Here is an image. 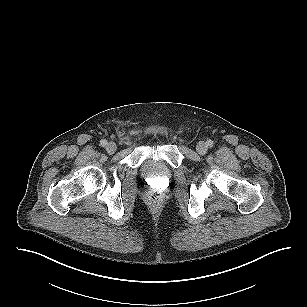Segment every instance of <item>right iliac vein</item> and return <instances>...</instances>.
Returning <instances> with one entry per match:
<instances>
[{"mask_svg": "<svg viewBox=\"0 0 307 307\" xmlns=\"http://www.w3.org/2000/svg\"><path fill=\"white\" fill-rule=\"evenodd\" d=\"M116 149H117V146L114 142L107 143V145H106L107 153L113 154L116 151Z\"/></svg>", "mask_w": 307, "mask_h": 307, "instance_id": "63e3f726", "label": "right iliac vein"}]
</instances>
